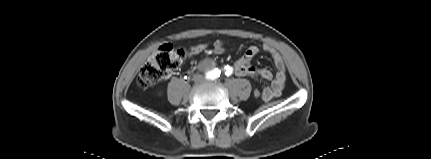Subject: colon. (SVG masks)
I'll use <instances>...</instances> for the list:
<instances>
[{
    "label": "colon",
    "mask_w": 431,
    "mask_h": 159,
    "mask_svg": "<svg viewBox=\"0 0 431 159\" xmlns=\"http://www.w3.org/2000/svg\"><path fill=\"white\" fill-rule=\"evenodd\" d=\"M232 53L233 52L230 49H211V54L213 56H230ZM187 54L188 51L186 49L175 47L171 44L160 46L154 51L148 61L141 68L137 77V84L142 88H146L150 85L158 83L168 76L171 71L177 69L184 61ZM252 96L261 98L262 90L260 88H254L252 91Z\"/></svg>",
    "instance_id": "5ec220e1"
}]
</instances>
